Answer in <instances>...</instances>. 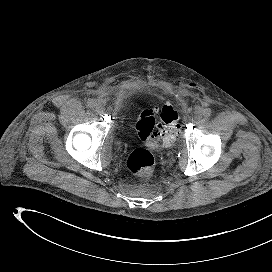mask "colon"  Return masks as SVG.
<instances>
[{
	"label": "colon",
	"instance_id": "5ec220e1",
	"mask_svg": "<svg viewBox=\"0 0 272 272\" xmlns=\"http://www.w3.org/2000/svg\"><path fill=\"white\" fill-rule=\"evenodd\" d=\"M158 108H145L138 116L136 130L142 141L151 148H167L172 145L179 130L178 113L172 106H164L161 110V122L156 126ZM155 166L153 154L144 148L131 152L127 159L128 169L135 175L149 176Z\"/></svg>",
	"mask_w": 272,
	"mask_h": 272
}]
</instances>
